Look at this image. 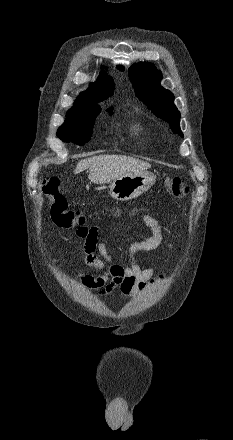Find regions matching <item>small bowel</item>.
Returning a JSON list of instances; mask_svg holds the SVG:
<instances>
[{
  "instance_id": "c3829d8e",
  "label": "small bowel",
  "mask_w": 233,
  "mask_h": 440,
  "mask_svg": "<svg viewBox=\"0 0 233 440\" xmlns=\"http://www.w3.org/2000/svg\"><path fill=\"white\" fill-rule=\"evenodd\" d=\"M143 222L150 229L151 235L146 239L134 241L129 246L127 266L114 260L101 239L97 227L78 228L76 235L84 240L82 253L85 263L102 272L98 276L81 272L79 280L84 286L99 290V296L117 290L121 296L130 297L151 290L158 281L165 278V275L157 274L155 267H140L135 258L137 252L154 250L162 241V230L158 221L151 215H145Z\"/></svg>"
}]
</instances>
